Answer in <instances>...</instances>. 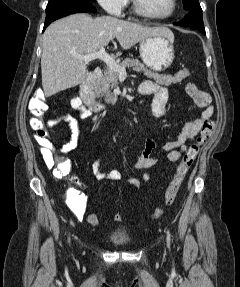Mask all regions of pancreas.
Returning a JSON list of instances; mask_svg holds the SVG:
<instances>
[{"mask_svg":"<svg viewBox=\"0 0 240 287\" xmlns=\"http://www.w3.org/2000/svg\"><path fill=\"white\" fill-rule=\"evenodd\" d=\"M122 67L132 68L134 71L142 72L145 76L153 78L157 83L169 86L181 82L184 78L190 75L189 71L184 69L179 71L174 76L158 74L154 71L148 70L143 63L138 59L126 58L120 64ZM119 73L107 68L104 70V75L100 78L95 91L99 98H103L106 103H113L115 96L111 92L112 89L118 85Z\"/></svg>","mask_w":240,"mask_h":287,"instance_id":"1","label":"pancreas"}]
</instances>
